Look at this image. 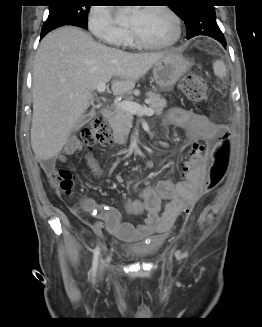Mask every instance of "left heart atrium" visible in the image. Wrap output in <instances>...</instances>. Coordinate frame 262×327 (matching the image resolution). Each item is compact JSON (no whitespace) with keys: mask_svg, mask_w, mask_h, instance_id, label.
<instances>
[{"mask_svg":"<svg viewBox=\"0 0 262 327\" xmlns=\"http://www.w3.org/2000/svg\"><path fill=\"white\" fill-rule=\"evenodd\" d=\"M142 10H136L133 12L134 16H139L141 14Z\"/></svg>","mask_w":262,"mask_h":327,"instance_id":"1","label":"left heart atrium"}]
</instances>
